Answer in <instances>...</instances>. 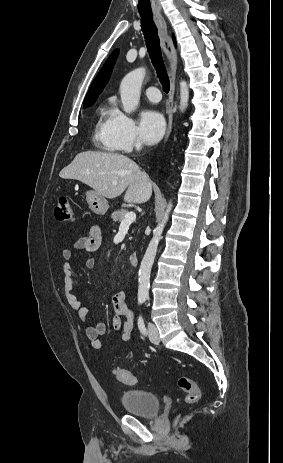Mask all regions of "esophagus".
Returning a JSON list of instances; mask_svg holds the SVG:
<instances>
[{
  "mask_svg": "<svg viewBox=\"0 0 283 463\" xmlns=\"http://www.w3.org/2000/svg\"><path fill=\"white\" fill-rule=\"evenodd\" d=\"M155 23L158 27L159 35L161 38V44L163 52L167 59V64L169 66V79H170V91L167 101V115H168V126L166 131V136L164 142L170 136L172 131L173 124V101H174V92H175V79H176V70H177V56L173 41L168 34L167 25L165 19L161 15H156L154 17Z\"/></svg>",
  "mask_w": 283,
  "mask_h": 463,
  "instance_id": "obj_1",
  "label": "esophagus"
}]
</instances>
